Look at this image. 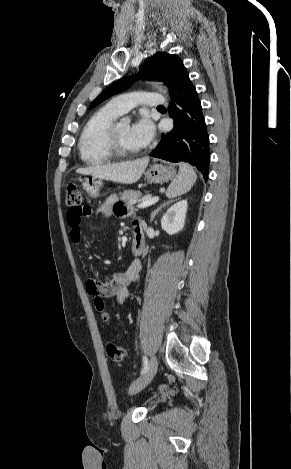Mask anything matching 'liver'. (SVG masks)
Instances as JSON below:
<instances>
[{
    "instance_id": "liver-1",
    "label": "liver",
    "mask_w": 291,
    "mask_h": 469,
    "mask_svg": "<svg viewBox=\"0 0 291 469\" xmlns=\"http://www.w3.org/2000/svg\"><path fill=\"white\" fill-rule=\"evenodd\" d=\"M148 163L149 158L145 157L117 164L94 165L86 168H79L76 172L121 184H133L141 178Z\"/></svg>"
}]
</instances>
